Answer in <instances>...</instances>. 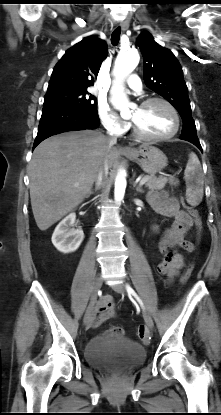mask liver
Returning a JSON list of instances; mask_svg holds the SVG:
<instances>
[{
  "label": "liver",
  "instance_id": "obj_1",
  "mask_svg": "<svg viewBox=\"0 0 221 415\" xmlns=\"http://www.w3.org/2000/svg\"><path fill=\"white\" fill-rule=\"evenodd\" d=\"M120 156L97 130L72 131L45 139L29 165L30 199L38 228L47 230L90 196L100 166ZM77 185V186H76Z\"/></svg>",
  "mask_w": 221,
  "mask_h": 415
}]
</instances>
